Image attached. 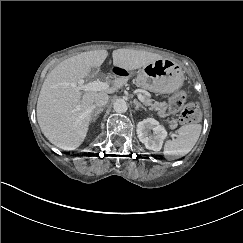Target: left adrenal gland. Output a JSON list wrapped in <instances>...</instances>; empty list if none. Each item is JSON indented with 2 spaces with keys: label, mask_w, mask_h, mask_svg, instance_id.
<instances>
[{
  "label": "left adrenal gland",
  "mask_w": 243,
  "mask_h": 243,
  "mask_svg": "<svg viewBox=\"0 0 243 243\" xmlns=\"http://www.w3.org/2000/svg\"><path fill=\"white\" fill-rule=\"evenodd\" d=\"M135 104V110H138L139 108H143L144 110H147L137 99L133 100Z\"/></svg>",
  "instance_id": "1"
}]
</instances>
